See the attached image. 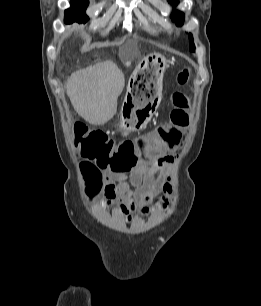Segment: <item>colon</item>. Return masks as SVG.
<instances>
[{
	"label": "colon",
	"instance_id": "1",
	"mask_svg": "<svg viewBox=\"0 0 261 306\" xmlns=\"http://www.w3.org/2000/svg\"><path fill=\"white\" fill-rule=\"evenodd\" d=\"M176 79L179 85L186 86L190 81L189 70L179 71ZM171 101L170 122L135 140H126L117 145L103 131L90 130L81 124L74 126L75 143L83 157L80 168L94 190L101 188L102 171L131 170L140 165H149L179 147L189 124L190 100L184 91L177 90L173 92Z\"/></svg>",
	"mask_w": 261,
	"mask_h": 306
}]
</instances>
